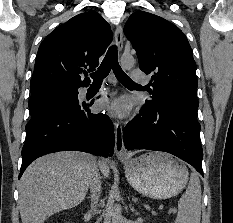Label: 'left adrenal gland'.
I'll return each instance as SVG.
<instances>
[{
    "label": "left adrenal gland",
    "mask_w": 233,
    "mask_h": 223,
    "mask_svg": "<svg viewBox=\"0 0 233 223\" xmlns=\"http://www.w3.org/2000/svg\"><path fill=\"white\" fill-rule=\"evenodd\" d=\"M129 205H130V209H131L132 213H135V215H139L137 209H135V207H133L132 203H129Z\"/></svg>",
    "instance_id": "obj_1"
}]
</instances>
